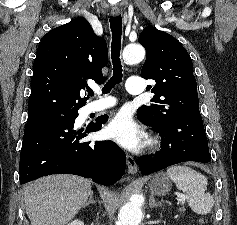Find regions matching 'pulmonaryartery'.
<instances>
[{"mask_svg":"<svg viewBox=\"0 0 237 225\" xmlns=\"http://www.w3.org/2000/svg\"><path fill=\"white\" fill-rule=\"evenodd\" d=\"M126 90L130 94H140L142 92V80L139 77H129L126 84ZM115 103L116 101L113 98L105 97L103 99L91 102L88 105V111L101 112L113 107Z\"/></svg>","mask_w":237,"mask_h":225,"instance_id":"e3ab8cb5","label":"pulmonary artery"}]
</instances>
